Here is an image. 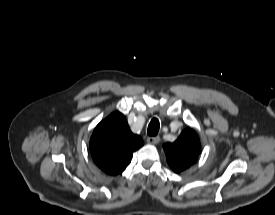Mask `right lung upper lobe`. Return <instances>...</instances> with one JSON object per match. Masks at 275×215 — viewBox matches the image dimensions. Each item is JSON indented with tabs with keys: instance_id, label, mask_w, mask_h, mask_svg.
<instances>
[{
	"instance_id": "1",
	"label": "right lung upper lobe",
	"mask_w": 275,
	"mask_h": 215,
	"mask_svg": "<svg viewBox=\"0 0 275 215\" xmlns=\"http://www.w3.org/2000/svg\"><path fill=\"white\" fill-rule=\"evenodd\" d=\"M143 144L141 137L131 132L123 114L114 112L94 129L90 150L93 160L104 172L117 175Z\"/></svg>"
}]
</instances>
